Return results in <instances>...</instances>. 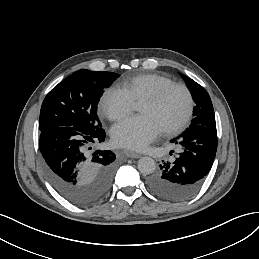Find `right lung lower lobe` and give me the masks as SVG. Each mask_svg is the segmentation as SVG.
I'll return each instance as SVG.
<instances>
[{
  "mask_svg": "<svg viewBox=\"0 0 259 259\" xmlns=\"http://www.w3.org/2000/svg\"><path fill=\"white\" fill-rule=\"evenodd\" d=\"M105 137L102 128L85 134L72 126L56 127L40 134L46 176L54 189L74 205H93L111 187L115 154L110 150L88 151V147L97 146Z\"/></svg>",
  "mask_w": 259,
  "mask_h": 259,
  "instance_id": "right-lung-lower-lobe-1",
  "label": "right lung lower lobe"
}]
</instances>
